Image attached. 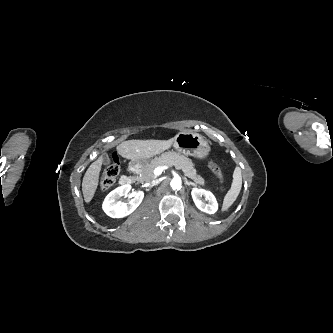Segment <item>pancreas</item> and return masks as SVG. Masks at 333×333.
Returning a JSON list of instances; mask_svg holds the SVG:
<instances>
[{"label": "pancreas", "mask_w": 333, "mask_h": 333, "mask_svg": "<svg viewBox=\"0 0 333 333\" xmlns=\"http://www.w3.org/2000/svg\"><path fill=\"white\" fill-rule=\"evenodd\" d=\"M159 166H175L176 169L182 170L195 183L202 186L205 185V179L197 174L192 160L173 151L165 152L161 156L155 157L141 170L137 180L141 183L151 182L157 177L154 175V170Z\"/></svg>", "instance_id": "obj_1"}]
</instances>
